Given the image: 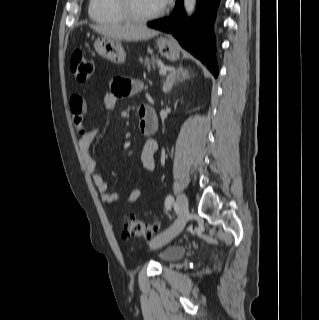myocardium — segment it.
<instances>
[{"label": "myocardium", "instance_id": "myocardium-1", "mask_svg": "<svg viewBox=\"0 0 319 320\" xmlns=\"http://www.w3.org/2000/svg\"><path fill=\"white\" fill-rule=\"evenodd\" d=\"M119 9L121 13L133 23H145L155 19H158L164 14V9L161 8L160 10L149 14V15H141L139 14L134 6L133 0H117Z\"/></svg>", "mask_w": 319, "mask_h": 320}]
</instances>
